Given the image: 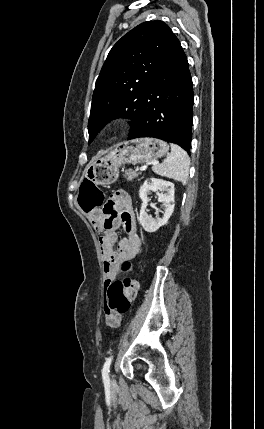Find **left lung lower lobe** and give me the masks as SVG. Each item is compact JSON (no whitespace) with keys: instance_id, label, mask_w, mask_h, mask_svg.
I'll use <instances>...</instances> for the list:
<instances>
[{"instance_id":"left-lung-lower-lobe-1","label":"left lung lower lobe","mask_w":264,"mask_h":429,"mask_svg":"<svg viewBox=\"0 0 264 429\" xmlns=\"http://www.w3.org/2000/svg\"><path fill=\"white\" fill-rule=\"evenodd\" d=\"M192 121V78L187 57L172 33L128 139L154 137L176 143L189 153Z\"/></svg>"}]
</instances>
